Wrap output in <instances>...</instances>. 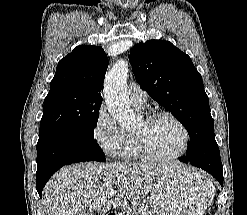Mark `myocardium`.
I'll use <instances>...</instances> for the list:
<instances>
[{
    "label": "myocardium",
    "instance_id": "1",
    "mask_svg": "<svg viewBox=\"0 0 247 215\" xmlns=\"http://www.w3.org/2000/svg\"><path fill=\"white\" fill-rule=\"evenodd\" d=\"M160 118H168V119L172 120L181 129V131L183 133V145H182L181 150L178 153L173 154V155L158 154L151 148L149 141L147 139L146 133L143 131L134 132V136L136 138L138 147H139L140 151L142 152V154L144 155V157L149 159V160L169 161V160L178 159L186 153V151L189 147V143H190L189 131H188L187 127L185 126V124L177 116H175L174 114L167 112V111L152 112V113L148 114L143 120H144L145 124H150V123H152V122H154Z\"/></svg>",
    "mask_w": 247,
    "mask_h": 215
}]
</instances>
